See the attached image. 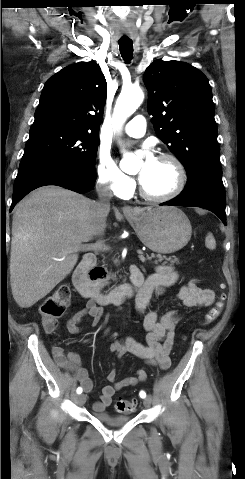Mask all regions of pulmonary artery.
Returning <instances> with one entry per match:
<instances>
[{"instance_id":"e3ab8cb5","label":"pulmonary artery","mask_w":245,"mask_h":479,"mask_svg":"<svg viewBox=\"0 0 245 479\" xmlns=\"http://www.w3.org/2000/svg\"><path fill=\"white\" fill-rule=\"evenodd\" d=\"M125 132L131 137H142L146 132V121L142 115L133 117L125 126Z\"/></svg>"}]
</instances>
